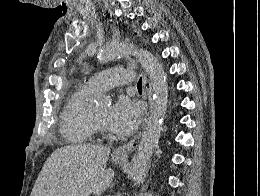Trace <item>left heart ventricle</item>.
I'll list each match as a JSON object with an SVG mask.
<instances>
[{"mask_svg":"<svg viewBox=\"0 0 260 196\" xmlns=\"http://www.w3.org/2000/svg\"><path fill=\"white\" fill-rule=\"evenodd\" d=\"M93 112L95 113L97 119L108 129L109 126L107 123V119H108V115L110 112L109 107L95 109V110H93Z\"/></svg>","mask_w":260,"mask_h":196,"instance_id":"1","label":"left heart ventricle"}]
</instances>
